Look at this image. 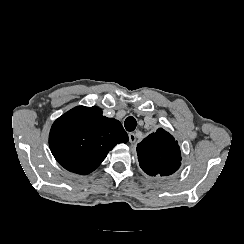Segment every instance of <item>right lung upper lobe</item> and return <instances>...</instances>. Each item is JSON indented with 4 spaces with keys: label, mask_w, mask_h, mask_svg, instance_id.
<instances>
[{
    "label": "right lung upper lobe",
    "mask_w": 244,
    "mask_h": 244,
    "mask_svg": "<svg viewBox=\"0 0 244 244\" xmlns=\"http://www.w3.org/2000/svg\"><path fill=\"white\" fill-rule=\"evenodd\" d=\"M126 142L128 135L121 123L103 116L98 107L71 109L54 122L49 135L57 162L81 175L94 171L116 144Z\"/></svg>",
    "instance_id": "right-lung-upper-lobe-1"
}]
</instances>
